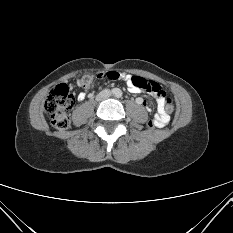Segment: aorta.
<instances>
[{"label":"aorta","mask_w":233,"mask_h":233,"mask_svg":"<svg viewBox=\"0 0 233 233\" xmlns=\"http://www.w3.org/2000/svg\"><path fill=\"white\" fill-rule=\"evenodd\" d=\"M114 94L116 97H120L122 95V91L120 89H115Z\"/></svg>","instance_id":"762f6f07"}]
</instances>
